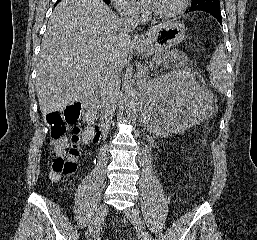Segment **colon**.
I'll use <instances>...</instances> for the list:
<instances>
[{
  "instance_id": "1",
  "label": "colon",
  "mask_w": 257,
  "mask_h": 240,
  "mask_svg": "<svg viewBox=\"0 0 257 240\" xmlns=\"http://www.w3.org/2000/svg\"><path fill=\"white\" fill-rule=\"evenodd\" d=\"M206 51V49H204ZM80 115V107L78 105L68 106L64 112H52L47 115L46 122L49 126L50 137L52 140L64 138L67 126L77 122ZM79 130H74L71 139V146L68 152L55 155L51 164V176L58 179L62 176L72 175L77 170V158L79 156L78 137Z\"/></svg>"
}]
</instances>
